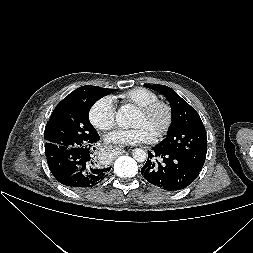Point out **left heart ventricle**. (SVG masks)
Listing matches in <instances>:
<instances>
[{"instance_id":"b2bd125f","label":"left heart ventricle","mask_w":253,"mask_h":253,"mask_svg":"<svg viewBox=\"0 0 253 253\" xmlns=\"http://www.w3.org/2000/svg\"><path fill=\"white\" fill-rule=\"evenodd\" d=\"M165 121L166 113L163 109H157L146 115L136 111L133 117L132 125H143L155 136L162 129Z\"/></svg>"}]
</instances>
